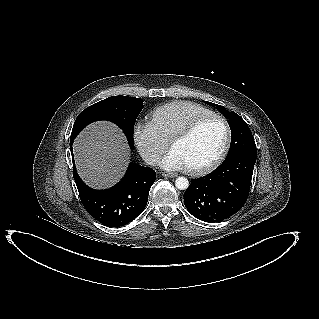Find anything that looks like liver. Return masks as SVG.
<instances>
[{
  "mask_svg": "<svg viewBox=\"0 0 319 319\" xmlns=\"http://www.w3.org/2000/svg\"><path fill=\"white\" fill-rule=\"evenodd\" d=\"M73 152L79 176L95 189L116 184L130 159V149L122 130L106 121L87 126L74 140Z\"/></svg>",
  "mask_w": 319,
  "mask_h": 319,
  "instance_id": "1",
  "label": "liver"
}]
</instances>
